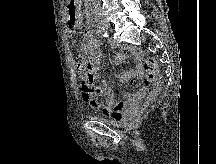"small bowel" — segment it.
I'll return each instance as SVG.
<instances>
[{"label": "small bowel", "instance_id": "obj_1", "mask_svg": "<svg viewBox=\"0 0 216 164\" xmlns=\"http://www.w3.org/2000/svg\"><path fill=\"white\" fill-rule=\"evenodd\" d=\"M79 51L82 56L76 58V64L78 60H84L83 56H85L88 57L87 62L97 69L101 62L102 53L99 48V43L94 38L90 29L83 31V42L79 45ZM136 60V69L123 71L120 74L119 78L122 82H129L132 79L144 75V69L139 55H136ZM146 93L147 88L141 87L134 93H126L124 95V102L114 105V94L105 81L96 87L88 86L86 82L82 84L83 100L95 110L101 111L105 116L114 120H122L128 117L135 110L137 104L145 97ZM96 96H102L104 100L99 102L95 99Z\"/></svg>", "mask_w": 216, "mask_h": 164}]
</instances>
